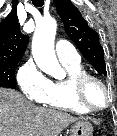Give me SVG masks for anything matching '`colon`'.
<instances>
[{"mask_svg": "<svg viewBox=\"0 0 117 136\" xmlns=\"http://www.w3.org/2000/svg\"><path fill=\"white\" fill-rule=\"evenodd\" d=\"M95 136H99L101 135V133L99 131H97L96 133H94Z\"/></svg>", "mask_w": 117, "mask_h": 136, "instance_id": "5ec220e1", "label": "colon"}]
</instances>
